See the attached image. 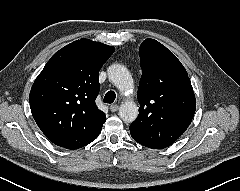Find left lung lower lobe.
Returning <instances> with one entry per match:
<instances>
[{
	"label": "left lung lower lobe",
	"mask_w": 240,
	"mask_h": 191,
	"mask_svg": "<svg viewBox=\"0 0 240 191\" xmlns=\"http://www.w3.org/2000/svg\"><path fill=\"white\" fill-rule=\"evenodd\" d=\"M130 133H131L132 138H133L135 141H137L138 143H140L141 145H144V146H146V147L155 148V149H160V148H162V146H163V145L160 144V143L151 144V143H148V142H146V141H144V140H141V139L137 138V136L132 132V129H130ZM168 146H170V145H168ZM166 147H167V146H166ZM163 148H165V147H163Z\"/></svg>",
	"instance_id": "0a47b994"
}]
</instances>
